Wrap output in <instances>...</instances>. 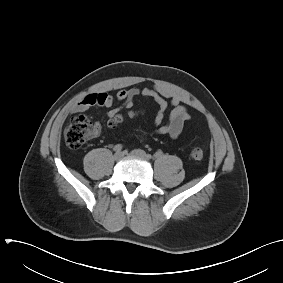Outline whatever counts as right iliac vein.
I'll return each instance as SVG.
<instances>
[{
  "label": "right iliac vein",
  "mask_w": 283,
  "mask_h": 283,
  "mask_svg": "<svg viewBox=\"0 0 283 283\" xmlns=\"http://www.w3.org/2000/svg\"><path fill=\"white\" fill-rule=\"evenodd\" d=\"M123 156H124V154H123L122 152H116V153L114 154V159H115L116 161H119V160H121V159L123 158Z\"/></svg>",
  "instance_id": "obj_1"
}]
</instances>
